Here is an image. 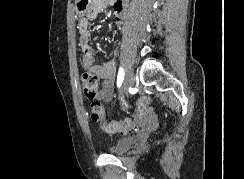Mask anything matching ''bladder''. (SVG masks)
<instances>
[{
    "label": "bladder",
    "instance_id": "1",
    "mask_svg": "<svg viewBox=\"0 0 244 179\" xmlns=\"http://www.w3.org/2000/svg\"><path fill=\"white\" fill-rule=\"evenodd\" d=\"M136 136H128L117 140L115 146L111 147L109 152L115 156H120L128 153L135 145Z\"/></svg>",
    "mask_w": 244,
    "mask_h": 179
}]
</instances>
